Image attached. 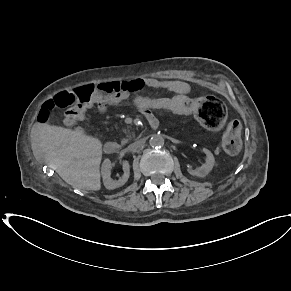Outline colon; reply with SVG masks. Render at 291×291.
Returning <instances> with one entry per match:
<instances>
[{
  "mask_svg": "<svg viewBox=\"0 0 291 291\" xmlns=\"http://www.w3.org/2000/svg\"><path fill=\"white\" fill-rule=\"evenodd\" d=\"M127 89L124 83H107L101 86L86 85L72 91H62L48 99L41 107L37 120L46 122L50 112L55 109H65L64 120L69 125H76L84 112L108 99L119 95ZM144 109L149 111L155 107L160 112L174 114L175 118H187L190 114H196L198 121L207 129L217 130L222 127L226 119V109L223 103L213 96L203 98H189V96H176L169 98L167 93H162L159 98L148 94L146 98L138 100ZM241 124L238 120H232L222 140L224 149L229 153H236L241 144Z\"/></svg>",
  "mask_w": 291,
  "mask_h": 291,
  "instance_id": "1",
  "label": "colon"
}]
</instances>
